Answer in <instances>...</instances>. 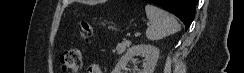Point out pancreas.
<instances>
[{
  "instance_id": "pancreas-1",
  "label": "pancreas",
  "mask_w": 244,
  "mask_h": 73,
  "mask_svg": "<svg viewBox=\"0 0 244 73\" xmlns=\"http://www.w3.org/2000/svg\"><path fill=\"white\" fill-rule=\"evenodd\" d=\"M131 45L130 41H124L122 43H119L116 48L113 50L114 53L120 55L122 54L127 47H129Z\"/></svg>"
}]
</instances>
